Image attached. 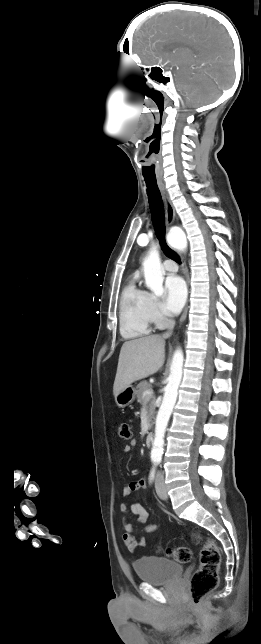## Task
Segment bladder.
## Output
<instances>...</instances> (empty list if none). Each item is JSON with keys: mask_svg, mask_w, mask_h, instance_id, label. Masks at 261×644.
I'll return each mask as SVG.
<instances>
[{"mask_svg": "<svg viewBox=\"0 0 261 644\" xmlns=\"http://www.w3.org/2000/svg\"><path fill=\"white\" fill-rule=\"evenodd\" d=\"M133 566L139 580L152 585L171 583L183 572L181 564L158 556L140 557Z\"/></svg>", "mask_w": 261, "mask_h": 644, "instance_id": "1", "label": "bladder"}]
</instances>
